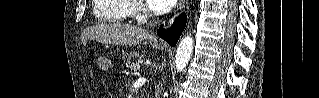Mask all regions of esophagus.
<instances>
[{"label":"esophagus","instance_id":"obj_1","mask_svg":"<svg viewBox=\"0 0 319 98\" xmlns=\"http://www.w3.org/2000/svg\"><path fill=\"white\" fill-rule=\"evenodd\" d=\"M187 0H180L176 6V9L174 11V15L179 14L185 7V4L187 3Z\"/></svg>","mask_w":319,"mask_h":98}]
</instances>
